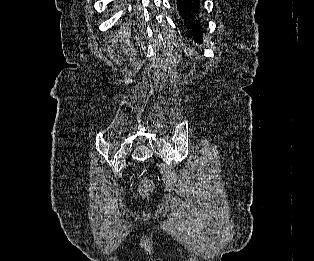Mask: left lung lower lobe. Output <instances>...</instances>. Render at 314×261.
<instances>
[{
  "label": "left lung lower lobe",
  "mask_w": 314,
  "mask_h": 261,
  "mask_svg": "<svg viewBox=\"0 0 314 261\" xmlns=\"http://www.w3.org/2000/svg\"><path fill=\"white\" fill-rule=\"evenodd\" d=\"M199 0H177V10L180 17L187 23L190 28L186 34L188 37H193L197 43L202 42V31L200 25L195 22L196 12L198 10Z\"/></svg>",
  "instance_id": "1"
}]
</instances>
